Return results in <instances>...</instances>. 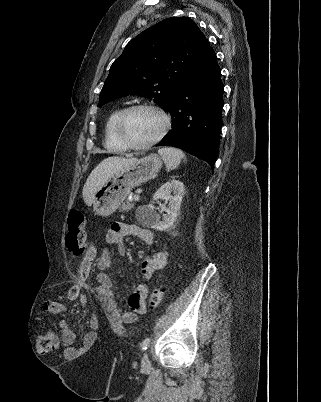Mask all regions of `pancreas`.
Returning a JSON list of instances; mask_svg holds the SVG:
<instances>
[{
  "label": "pancreas",
  "instance_id": "pancreas-1",
  "mask_svg": "<svg viewBox=\"0 0 321 402\" xmlns=\"http://www.w3.org/2000/svg\"><path fill=\"white\" fill-rule=\"evenodd\" d=\"M134 207L133 199L122 204L120 212H129Z\"/></svg>",
  "mask_w": 321,
  "mask_h": 402
}]
</instances>
